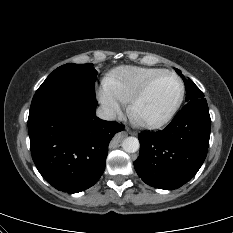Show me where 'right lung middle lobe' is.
Listing matches in <instances>:
<instances>
[{
	"mask_svg": "<svg viewBox=\"0 0 233 233\" xmlns=\"http://www.w3.org/2000/svg\"><path fill=\"white\" fill-rule=\"evenodd\" d=\"M93 64L68 63L55 69L36 91L31 107L57 98H95Z\"/></svg>",
	"mask_w": 233,
	"mask_h": 233,
	"instance_id": "dd1d6c3e",
	"label": "right lung middle lobe"
}]
</instances>
